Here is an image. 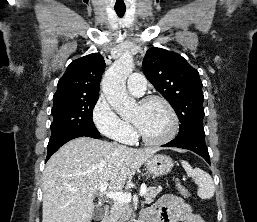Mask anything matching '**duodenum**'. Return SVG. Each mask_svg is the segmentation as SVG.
<instances>
[{
  "instance_id": "obj_1",
  "label": "duodenum",
  "mask_w": 257,
  "mask_h": 222,
  "mask_svg": "<svg viewBox=\"0 0 257 222\" xmlns=\"http://www.w3.org/2000/svg\"><path fill=\"white\" fill-rule=\"evenodd\" d=\"M110 212H111V207L109 205H105L103 207V218H102V221L101 222H105L106 218L109 217L110 215ZM145 221V220H144ZM144 221H141V222H144Z\"/></svg>"
}]
</instances>
